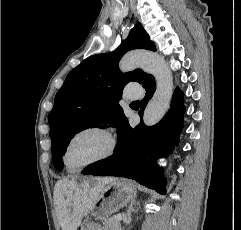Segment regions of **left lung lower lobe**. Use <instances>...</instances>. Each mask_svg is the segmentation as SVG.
<instances>
[{"label": "left lung lower lobe", "instance_id": "left-lung-lower-lobe-1", "mask_svg": "<svg viewBox=\"0 0 241 230\" xmlns=\"http://www.w3.org/2000/svg\"><path fill=\"white\" fill-rule=\"evenodd\" d=\"M143 87L146 95L138 112L141 118L155 92L154 79L149 77ZM184 111L183 93L177 88L169 112L156 125L148 127L141 121L132 128L128 119L124 118L117 129L118 143L113 155L88 166L82 174L126 177L165 193V179L162 169L157 165V159L169 155L174 145H177Z\"/></svg>", "mask_w": 241, "mask_h": 230}]
</instances>
